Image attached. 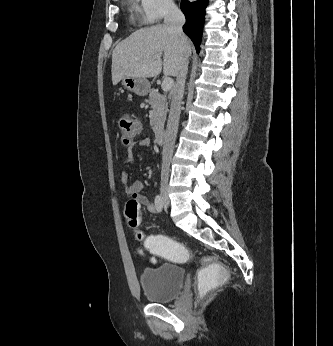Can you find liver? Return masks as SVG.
<instances>
[{"instance_id":"6515ba94","label":"liver","mask_w":333,"mask_h":346,"mask_svg":"<svg viewBox=\"0 0 333 346\" xmlns=\"http://www.w3.org/2000/svg\"><path fill=\"white\" fill-rule=\"evenodd\" d=\"M185 47L189 56L192 46L187 37ZM180 56L179 38L166 25L140 29L115 47L112 83L116 85L125 77H155L161 73L162 67L165 76H176Z\"/></svg>"}]
</instances>
